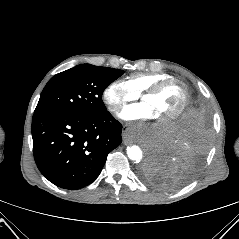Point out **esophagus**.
Listing matches in <instances>:
<instances>
[{
  "mask_svg": "<svg viewBox=\"0 0 239 239\" xmlns=\"http://www.w3.org/2000/svg\"><path fill=\"white\" fill-rule=\"evenodd\" d=\"M128 127L127 126H123V130H122V136H123V140L124 143H128L129 139H128Z\"/></svg>",
  "mask_w": 239,
  "mask_h": 239,
  "instance_id": "34e87169",
  "label": "esophagus"
}]
</instances>
